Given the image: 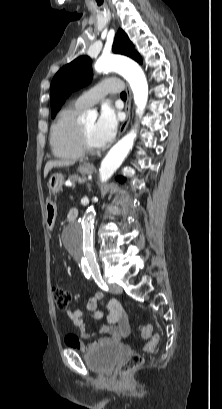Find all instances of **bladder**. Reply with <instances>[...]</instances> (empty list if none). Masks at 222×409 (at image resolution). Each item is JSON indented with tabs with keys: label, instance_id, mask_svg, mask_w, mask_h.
<instances>
[{
	"label": "bladder",
	"instance_id": "obj_1",
	"mask_svg": "<svg viewBox=\"0 0 222 409\" xmlns=\"http://www.w3.org/2000/svg\"><path fill=\"white\" fill-rule=\"evenodd\" d=\"M122 354L121 346L117 343H108L90 349L84 356L89 369L97 374H110Z\"/></svg>",
	"mask_w": 222,
	"mask_h": 409
}]
</instances>
